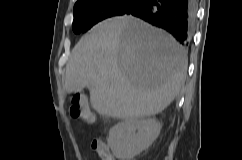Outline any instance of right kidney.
I'll use <instances>...</instances> for the list:
<instances>
[{"label":"right kidney","mask_w":242,"mask_h":160,"mask_svg":"<svg viewBox=\"0 0 242 160\" xmlns=\"http://www.w3.org/2000/svg\"><path fill=\"white\" fill-rule=\"evenodd\" d=\"M160 130L156 119L125 120L110 129L107 142L116 158L131 160L148 149Z\"/></svg>","instance_id":"right-kidney-1"}]
</instances>
